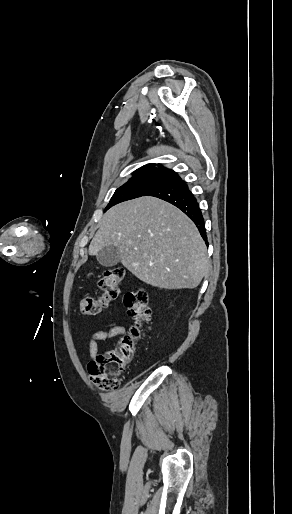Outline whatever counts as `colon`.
I'll return each instance as SVG.
<instances>
[{"mask_svg": "<svg viewBox=\"0 0 292 514\" xmlns=\"http://www.w3.org/2000/svg\"><path fill=\"white\" fill-rule=\"evenodd\" d=\"M124 270H106L98 280L100 292L96 296H83L80 311L84 316H97L112 300L117 298L122 288ZM126 308L134 321L129 335L121 338L120 344L108 348L88 363V374L92 382L101 390L115 391L119 377L134 356L141 339L142 328L151 320L150 294L146 288L131 289L125 297Z\"/></svg>", "mask_w": 292, "mask_h": 514, "instance_id": "5ec220e1", "label": "colon"}]
</instances>
